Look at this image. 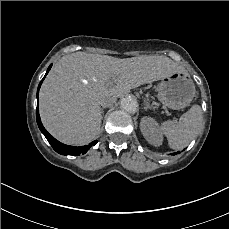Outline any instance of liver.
Wrapping results in <instances>:
<instances>
[{
  "instance_id": "1",
  "label": "liver",
  "mask_w": 229,
  "mask_h": 229,
  "mask_svg": "<svg viewBox=\"0 0 229 229\" xmlns=\"http://www.w3.org/2000/svg\"><path fill=\"white\" fill-rule=\"evenodd\" d=\"M174 73L189 74L166 56L66 55L53 66L41 87L42 122L58 140L86 144L100 133L104 101L114 105L131 89Z\"/></svg>"
}]
</instances>
